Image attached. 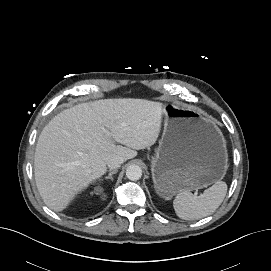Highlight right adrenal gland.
Returning <instances> with one entry per match:
<instances>
[{
    "instance_id": "1",
    "label": "right adrenal gland",
    "mask_w": 271,
    "mask_h": 271,
    "mask_svg": "<svg viewBox=\"0 0 271 271\" xmlns=\"http://www.w3.org/2000/svg\"><path fill=\"white\" fill-rule=\"evenodd\" d=\"M117 172H118L117 169L111 171V172L109 173V175L105 177V179H106V180H107V179H111V180L113 181L112 175L115 174V173H117Z\"/></svg>"
}]
</instances>
